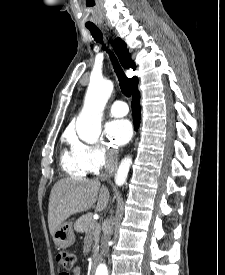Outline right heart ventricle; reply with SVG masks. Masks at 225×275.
<instances>
[{
  "label": "right heart ventricle",
  "instance_id": "obj_1",
  "mask_svg": "<svg viewBox=\"0 0 225 275\" xmlns=\"http://www.w3.org/2000/svg\"><path fill=\"white\" fill-rule=\"evenodd\" d=\"M68 140L70 137L67 136ZM61 163L63 169L74 176L84 177L88 174L87 168L83 165L79 157L74 153L73 150L65 151L62 154Z\"/></svg>",
  "mask_w": 225,
  "mask_h": 275
}]
</instances>
